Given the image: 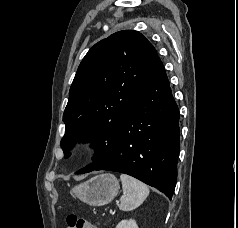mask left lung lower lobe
Returning a JSON list of instances; mask_svg holds the SVG:
<instances>
[{
  "instance_id": "left-lung-lower-lobe-1",
  "label": "left lung lower lobe",
  "mask_w": 238,
  "mask_h": 228,
  "mask_svg": "<svg viewBox=\"0 0 238 228\" xmlns=\"http://www.w3.org/2000/svg\"><path fill=\"white\" fill-rule=\"evenodd\" d=\"M179 110L158 57L128 117L122 122L113 156L87 170L116 171L174 193L180 147Z\"/></svg>"
}]
</instances>
